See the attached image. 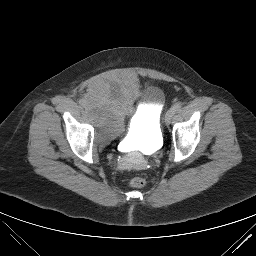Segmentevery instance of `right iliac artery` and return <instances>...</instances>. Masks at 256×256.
<instances>
[{
  "label": "right iliac artery",
  "instance_id": "right-iliac-artery-1",
  "mask_svg": "<svg viewBox=\"0 0 256 256\" xmlns=\"http://www.w3.org/2000/svg\"><path fill=\"white\" fill-rule=\"evenodd\" d=\"M80 104H81L82 106H86V100L81 99V100H80Z\"/></svg>",
  "mask_w": 256,
  "mask_h": 256
}]
</instances>
